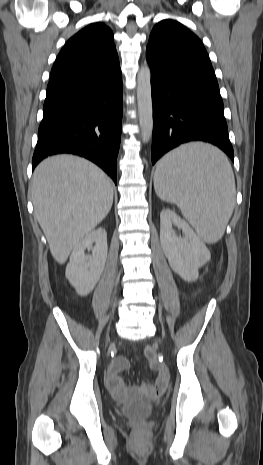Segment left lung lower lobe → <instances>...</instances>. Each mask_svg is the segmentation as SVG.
Returning <instances> with one entry per match:
<instances>
[{"label":"left lung lower lobe","mask_w":263,"mask_h":465,"mask_svg":"<svg viewBox=\"0 0 263 465\" xmlns=\"http://www.w3.org/2000/svg\"><path fill=\"white\" fill-rule=\"evenodd\" d=\"M153 101L152 164L191 141L218 146L233 161L217 79L212 65L177 61L146 50Z\"/></svg>","instance_id":"1"}]
</instances>
